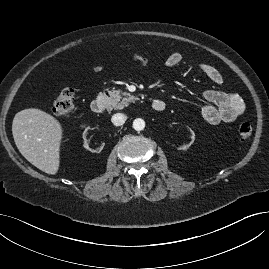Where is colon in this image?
Instances as JSON below:
<instances>
[{
	"label": "colon",
	"instance_id": "1",
	"mask_svg": "<svg viewBox=\"0 0 269 269\" xmlns=\"http://www.w3.org/2000/svg\"><path fill=\"white\" fill-rule=\"evenodd\" d=\"M75 93L72 88L62 89L55 97L53 112L57 116H68L74 109ZM253 131L251 123L245 121L239 126L238 133L242 140L248 139Z\"/></svg>",
	"mask_w": 269,
	"mask_h": 269
}]
</instances>
